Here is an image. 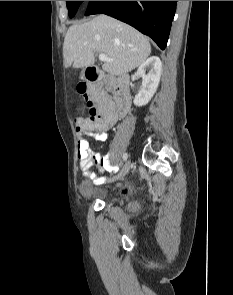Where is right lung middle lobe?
I'll use <instances>...</instances> for the list:
<instances>
[{
    "instance_id": "1",
    "label": "right lung middle lobe",
    "mask_w": 233,
    "mask_h": 295,
    "mask_svg": "<svg viewBox=\"0 0 233 295\" xmlns=\"http://www.w3.org/2000/svg\"><path fill=\"white\" fill-rule=\"evenodd\" d=\"M83 1H66L69 17L72 18Z\"/></svg>"
}]
</instances>
